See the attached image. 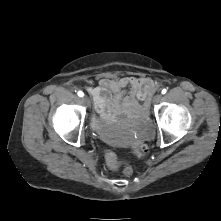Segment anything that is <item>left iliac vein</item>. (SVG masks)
<instances>
[{
    "instance_id": "4c4485c4",
    "label": "left iliac vein",
    "mask_w": 221,
    "mask_h": 221,
    "mask_svg": "<svg viewBox=\"0 0 221 221\" xmlns=\"http://www.w3.org/2000/svg\"><path fill=\"white\" fill-rule=\"evenodd\" d=\"M162 98V95L161 94H156L154 97H153V103H158Z\"/></svg>"
}]
</instances>
